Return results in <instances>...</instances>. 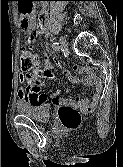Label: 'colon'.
I'll return each mask as SVG.
<instances>
[{"label": "colon", "mask_w": 123, "mask_h": 167, "mask_svg": "<svg viewBox=\"0 0 123 167\" xmlns=\"http://www.w3.org/2000/svg\"><path fill=\"white\" fill-rule=\"evenodd\" d=\"M41 19H42V16H41ZM20 62H21V69L24 72L34 70L38 64L36 55L30 49L21 50ZM59 118L62 125L66 129H76L81 122L80 114L76 110L70 107L61 108L59 111Z\"/></svg>", "instance_id": "obj_1"}]
</instances>
